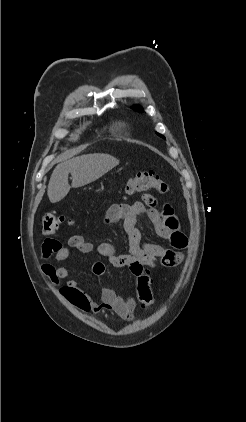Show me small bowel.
I'll return each instance as SVG.
<instances>
[{
    "mask_svg": "<svg viewBox=\"0 0 246 422\" xmlns=\"http://www.w3.org/2000/svg\"><path fill=\"white\" fill-rule=\"evenodd\" d=\"M156 199L151 195L144 196V202L129 204H114L105 213L104 222L113 224L123 222V228L129 241V252L127 254H117L114 246L109 242H102L96 247L97 253L105 258L116 268H129L137 275L140 266L156 263L161 259L169 248L162 245L143 242L137 221L140 217H147L153 225L156 235L168 241L171 249L181 251L187 246V238L180 229L177 217L174 215L170 205H164L160 210L156 208ZM76 249L80 253H90L94 250V245L86 241L81 235H73L68 241V246H63L56 239H47L41 247L42 257L45 262L42 264L43 273L50 279L53 285L59 286L62 279L71 275L68 267H56L48 262L54 255L55 262H62L71 255V249ZM104 264L95 262L93 273L100 276L104 272ZM60 294L73 305L85 312L100 313L112 312L124 320L132 317L136 302L127 297H123L115 290L108 287H101L97 298L86 294L74 279H70L64 286L59 288Z\"/></svg>",
    "mask_w": 246,
    "mask_h": 422,
    "instance_id": "c3829d8e",
    "label": "small bowel"
}]
</instances>
